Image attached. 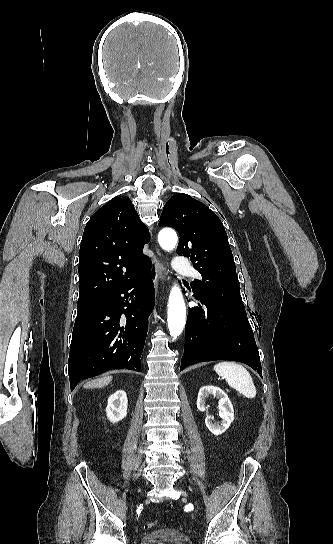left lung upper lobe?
<instances>
[{
  "label": "left lung upper lobe",
  "instance_id": "5c2ea615",
  "mask_svg": "<svg viewBox=\"0 0 333 544\" xmlns=\"http://www.w3.org/2000/svg\"><path fill=\"white\" fill-rule=\"evenodd\" d=\"M159 226L179 233L177 253L190 257L202 280L191 283L193 293L216 307L247 319L240 296V283L219 217L206 205L187 194H175L165 204Z\"/></svg>",
  "mask_w": 333,
  "mask_h": 544
}]
</instances>
